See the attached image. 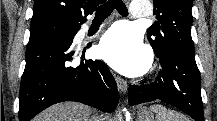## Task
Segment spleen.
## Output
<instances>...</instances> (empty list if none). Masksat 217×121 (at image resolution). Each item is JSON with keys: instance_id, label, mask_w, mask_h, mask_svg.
Masks as SVG:
<instances>
[{"instance_id": "spleen-1", "label": "spleen", "mask_w": 217, "mask_h": 121, "mask_svg": "<svg viewBox=\"0 0 217 121\" xmlns=\"http://www.w3.org/2000/svg\"><path fill=\"white\" fill-rule=\"evenodd\" d=\"M151 110L156 113L157 121H188L183 114L167 109L162 105H153Z\"/></svg>"}]
</instances>
